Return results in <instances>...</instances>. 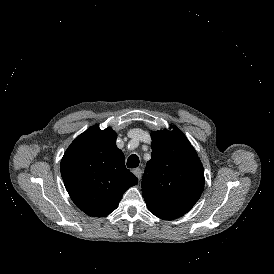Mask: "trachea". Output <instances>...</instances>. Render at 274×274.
<instances>
[{"instance_id":"1","label":"trachea","mask_w":274,"mask_h":274,"mask_svg":"<svg viewBox=\"0 0 274 274\" xmlns=\"http://www.w3.org/2000/svg\"><path fill=\"white\" fill-rule=\"evenodd\" d=\"M139 165V158L137 155L132 154L127 160L128 168H136Z\"/></svg>"}]
</instances>
